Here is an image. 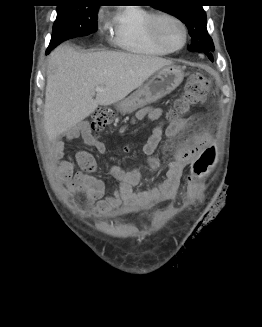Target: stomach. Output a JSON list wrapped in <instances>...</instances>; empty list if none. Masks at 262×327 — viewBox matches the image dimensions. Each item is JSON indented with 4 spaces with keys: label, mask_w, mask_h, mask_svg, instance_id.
Returning <instances> with one entry per match:
<instances>
[{
    "label": "stomach",
    "mask_w": 262,
    "mask_h": 327,
    "mask_svg": "<svg viewBox=\"0 0 262 327\" xmlns=\"http://www.w3.org/2000/svg\"><path fill=\"white\" fill-rule=\"evenodd\" d=\"M183 78L184 73L180 67L165 66L129 97L119 102L117 108L122 114H130L138 108L154 103L171 93L180 85Z\"/></svg>",
    "instance_id": "obj_1"
}]
</instances>
